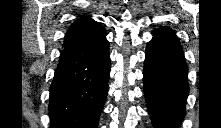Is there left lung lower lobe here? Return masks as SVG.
<instances>
[{"mask_svg": "<svg viewBox=\"0 0 221 128\" xmlns=\"http://www.w3.org/2000/svg\"><path fill=\"white\" fill-rule=\"evenodd\" d=\"M144 63V94L155 128H176L185 115L189 93L184 53L168 27L152 32Z\"/></svg>", "mask_w": 221, "mask_h": 128, "instance_id": "obj_1", "label": "left lung lower lobe"}]
</instances>
